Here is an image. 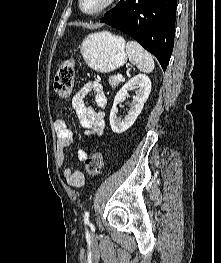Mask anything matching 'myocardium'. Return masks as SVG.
Returning <instances> with one entry per match:
<instances>
[{"mask_svg": "<svg viewBox=\"0 0 221 263\" xmlns=\"http://www.w3.org/2000/svg\"><path fill=\"white\" fill-rule=\"evenodd\" d=\"M118 0H105L104 3L96 10L94 11H87L84 9L83 7V0H78V5L80 10L88 16H97L100 15L104 12H106L107 10H109L110 8H112Z\"/></svg>", "mask_w": 221, "mask_h": 263, "instance_id": "1", "label": "myocardium"}]
</instances>
